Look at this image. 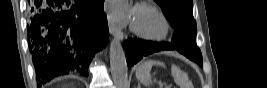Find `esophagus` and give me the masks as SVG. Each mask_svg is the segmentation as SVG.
Here are the masks:
<instances>
[{
	"mask_svg": "<svg viewBox=\"0 0 267 88\" xmlns=\"http://www.w3.org/2000/svg\"><path fill=\"white\" fill-rule=\"evenodd\" d=\"M108 26H109V31L112 35L116 36L120 40H124V34L122 30L116 26V24L112 21L110 16H108Z\"/></svg>",
	"mask_w": 267,
	"mask_h": 88,
	"instance_id": "esophagus-1",
	"label": "esophagus"
}]
</instances>
